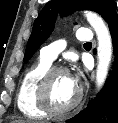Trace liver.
<instances>
[{
    "instance_id": "6515ba94",
    "label": "liver",
    "mask_w": 118,
    "mask_h": 123,
    "mask_svg": "<svg viewBox=\"0 0 118 123\" xmlns=\"http://www.w3.org/2000/svg\"><path fill=\"white\" fill-rule=\"evenodd\" d=\"M12 123H31L29 121H23V120H15Z\"/></svg>"
}]
</instances>
